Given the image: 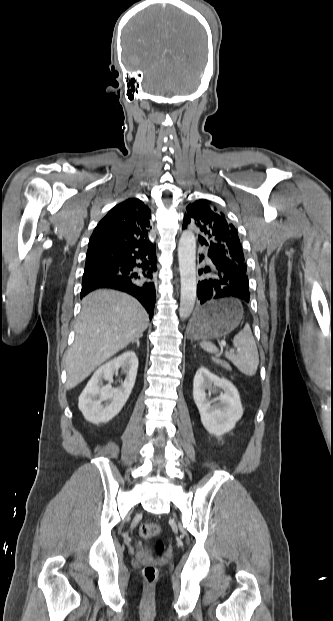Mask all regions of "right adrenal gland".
Returning <instances> with one entry per match:
<instances>
[{
	"label": "right adrenal gland",
	"mask_w": 333,
	"mask_h": 621,
	"mask_svg": "<svg viewBox=\"0 0 333 621\" xmlns=\"http://www.w3.org/2000/svg\"><path fill=\"white\" fill-rule=\"evenodd\" d=\"M139 339H140V337H137L135 340H133V341H132V344H133L134 342H136V344H137V347H138V348H139V346H140V341H139Z\"/></svg>",
	"instance_id": "obj_1"
}]
</instances>
